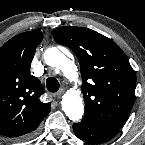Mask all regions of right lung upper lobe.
Wrapping results in <instances>:
<instances>
[{
    "mask_svg": "<svg viewBox=\"0 0 145 145\" xmlns=\"http://www.w3.org/2000/svg\"><path fill=\"white\" fill-rule=\"evenodd\" d=\"M40 29L21 33L0 47V135L18 138L33 132L51 110L39 97L44 87L30 74Z\"/></svg>",
    "mask_w": 145,
    "mask_h": 145,
    "instance_id": "obj_1",
    "label": "right lung upper lobe"
}]
</instances>
